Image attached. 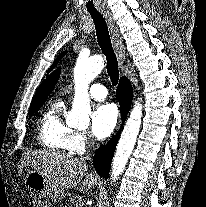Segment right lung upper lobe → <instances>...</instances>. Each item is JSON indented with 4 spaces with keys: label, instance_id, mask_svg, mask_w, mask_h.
I'll list each match as a JSON object with an SVG mask.
<instances>
[{
    "label": "right lung upper lobe",
    "instance_id": "right-lung-upper-lobe-1",
    "mask_svg": "<svg viewBox=\"0 0 206 207\" xmlns=\"http://www.w3.org/2000/svg\"><path fill=\"white\" fill-rule=\"evenodd\" d=\"M60 71L59 67L39 86L29 109L39 107L47 100L59 79Z\"/></svg>",
    "mask_w": 206,
    "mask_h": 207
}]
</instances>
